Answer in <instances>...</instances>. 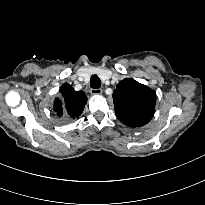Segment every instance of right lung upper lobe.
Here are the masks:
<instances>
[{
	"mask_svg": "<svg viewBox=\"0 0 205 205\" xmlns=\"http://www.w3.org/2000/svg\"><path fill=\"white\" fill-rule=\"evenodd\" d=\"M59 93V98H56L54 102L55 112L59 116L64 113L73 119L79 118L87 102L85 93L83 91H75L67 83L61 86Z\"/></svg>",
	"mask_w": 205,
	"mask_h": 205,
	"instance_id": "cb5924a9",
	"label": "right lung upper lobe"
}]
</instances>
